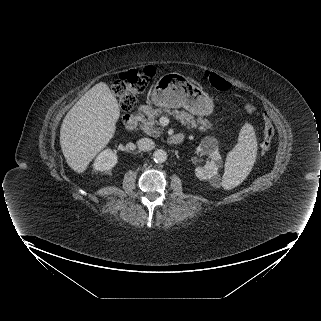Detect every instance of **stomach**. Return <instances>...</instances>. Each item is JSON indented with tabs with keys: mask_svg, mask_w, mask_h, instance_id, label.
Instances as JSON below:
<instances>
[{
	"mask_svg": "<svg viewBox=\"0 0 321 321\" xmlns=\"http://www.w3.org/2000/svg\"><path fill=\"white\" fill-rule=\"evenodd\" d=\"M151 100L158 107H183L198 116H209L214 109L212 98L179 73L161 76L154 86Z\"/></svg>",
	"mask_w": 321,
	"mask_h": 321,
	"instance_id": "1",
	"label": "stomach"
}]
</instances>
